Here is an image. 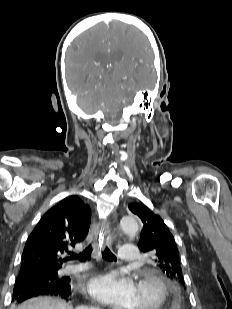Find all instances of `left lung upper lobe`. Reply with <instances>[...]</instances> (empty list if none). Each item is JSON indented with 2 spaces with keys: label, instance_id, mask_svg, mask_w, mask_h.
I'll return each instance as SVG.
<instances>
[{
  "label": "left lung upper lobe",
  "instance_id": "1",
  "mask_svg": "<svg viewBox=\"0 0 232 309\" xmlns=\"http://www.w3.org/2000/svg\"><path fill=\"white\" fill-rule=\"evenodd\" d=\"M129 209L143 222L139 249L169 278L184 283L179 251L164 221L143 204H130Z\"/></svg>",
  "mask_w": 232,
  "mask_h": 309
}]
</instances>
